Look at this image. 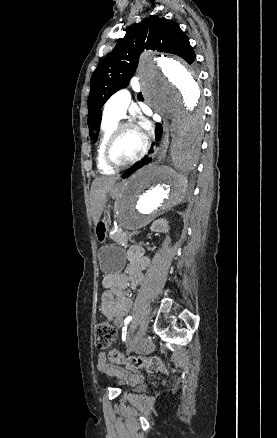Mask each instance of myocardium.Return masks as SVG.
I'll return each instance as SVG.
<instances>
[{
	"instance_id": "obj_1",
	"label": "myocardium",
	"mask_w": 277,
	"mask_h": 438,
	"mask_svg": "<svg viewBox=\"0 0 277 438\" xmlns=\"http://www.w3.org/2000/svg\"><path fill=\"white\" fill-rule=\"evenodd\" d=\"M129 128L136 130L139 133V135L141 136L140 131L135 124H133L131 122H121L115 126V128L111 132V134L106 142V145L104 147L103 157H104L105 163L109 167H111L112 169H123V168L129 167V166L133 165L134 163H136L137 161H139L144 156V154L146 152L147 140L141 136L143 143H142V148L137 156H135L134 158H132L128 161H125V162H118V161H115L113 159L112 150H113V147H114L117 139L119 138V136L121 135V133L124 130L129 129Z\"/></svg>"
}]
</instances>
